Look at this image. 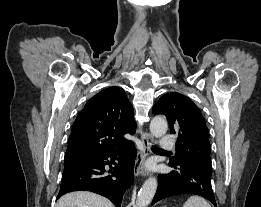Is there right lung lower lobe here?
I'll return each instance as SVG.
<instances>
[{
    "label": "right lung lower lobe",
    "mask_w": 261,
    "mask_h": 207,
    "mask_svg": "<svg viewBox=\"0 0 261 207\" xmlns=\"http://www.w3.org/2000/svg\"><path fill=\"white\" fill-rule=\"evenodd\" d=\"M135 158L136 149L131 141L122 148L64 165L57 199L68 192L87 190L107 197L120 207L124 192L134 178Z\"/></svg>",
    "instance_id": "98d812e1"
}]
</instances>
